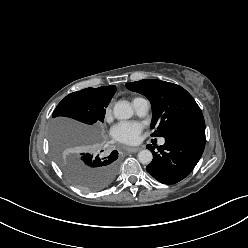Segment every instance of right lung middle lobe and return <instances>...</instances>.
Returning <instances> with one entry per match:
<instances>
[{
    "label": "right lung middle lobe",
    "instance_id": "right-lung-middle-lobe-1",
    "mask_svg": "<svg viewBox=\"0 0 248 248\" xmlns=\"http://www.w3.org/2000/svg\"><path fill=\"white\" fill-rule=\"evenodd\" d=\"M113 94L86 88L66 96L56 107L53 117H70L92 125L104 121L106 107ZM55 159L68 179L85 191H98L107 187L116 177L119 162L118 153L110 155L74 153L53 143Z\"/></svg>",
    "mask_w": 248,
    "mask_h": 248
}]
</instances>
